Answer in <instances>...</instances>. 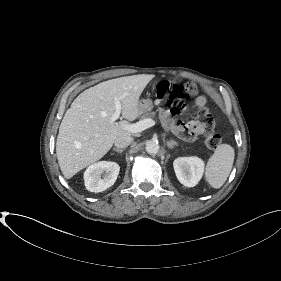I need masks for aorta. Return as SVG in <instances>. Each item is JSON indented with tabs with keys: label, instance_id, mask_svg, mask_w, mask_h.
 I'll list each match as a JSON object with an SVG mask.
<instances>
[{
	"label": "aorta",
	"instance_id": "aorta-1",
	"mask_svg": "<svg viewBox=\"0 0 281 281\" xmlns=\"http://www.w3.org/2000/svg\"><path fill=\"white\" fill-rule=\"evenodd\" d=\"M160 146L157 141H148L146 143V151L149 154H157L159 152Z\"/></svg>",
	"mask_w": 281,
	"mask_h": 281
}]
</instances>
